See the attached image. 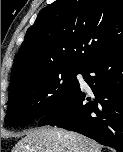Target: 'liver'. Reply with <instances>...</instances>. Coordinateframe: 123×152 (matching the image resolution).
<instances>
[{"mask_svg":"<svg viewBox=\"0 0 123 152\" xmlns=\"http://www.w3.org/2000/svg\"><path fill=\"white\" fill-rule=\"evenodd\" d=\"M102 146L79 133L45 127L28 131L13 152H101Z\"/></svg>","mask_w":123,"mask_h":152,"instance_id":"6515ba94","label":"liver"}]
</instances>
